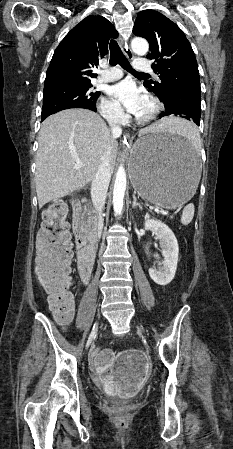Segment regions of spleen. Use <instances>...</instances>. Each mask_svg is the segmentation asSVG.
I'll use <instances>...</instances> for the list:
<instances>
[{
  "instance_id": "obj_1",
  "label": "spleen",
  "mask_w": 233,
  "mask_h": 449,
  "mask_svg": "<svg viewBox=\"0 0 233 449\" xmlns=\"http://www.w3.org/2000/svg\"><path fill=\"white\" fill-rule=\"evenodd\" d=\"M173 133L180 135V140L182 142H192L197 148L199 134L196 132L195 125H175V131H173ZM194 210L195 208L193 203H190L184 207L180 219L183 225H188L192 221L194 217Z\"/></svg>"
}]
</instances>
